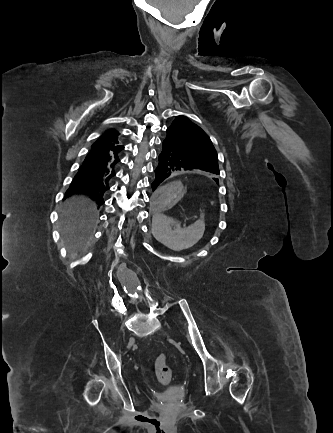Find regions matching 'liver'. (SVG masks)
<instances>
[{
	"mask_svg": "<svg viewBox=\"0 0 333 433\" xmlns=\"http://www.w3.org/2000/svg\"><path fill=\"white\" fill-rule=\"evenodd\" d=\"M97 218L96 203L84 195L72 196L64 203L60 231L72 258L91 239L98 222Z\"/></svg>",
	"mask_w": 333,
	"mask_h": 433,
	"instance_id": "6515ba94",
	"label": "liver"
}]
</instances>
